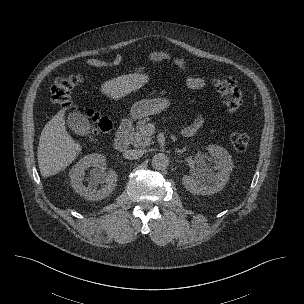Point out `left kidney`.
I'll return each mask as SVG.
<instances>
[{"label":"left kidney","instance_id":"1","mask_svg":"<svg viewBox=\"0 0 304 304\" xmlns=\"http://www.w3.org/2000/svg\"><path fill=\"white\" fill-rule=\"evenodd\" d=\"M208 152L216 160L217 173L206 163V156L197 154L196 165L191 175L182 178L185 188L194 194L211 195L224 188L233 169V162L228 151L218 145H209Z\"/></svg>","mask_w":304,"mask_h":304}]
</instances>
